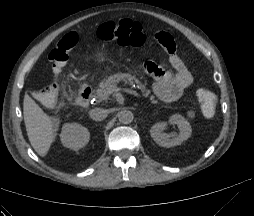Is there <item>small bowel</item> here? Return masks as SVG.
I'll return each instance as SVG.
<instances>
[{
	"instance_id": "1",
	"label": "small bowel",
	"mask_w": 254,
	"mask_h": 216,
	"mask_svg": "<svg viewBox=\"0 0 254 216\" xmlns=\"http://www.w3.org/2000/svg\"><path fill=\"white\" fill-rule=\"evenodd\" d=\"M154 40L166 51L170 68L174 72L164 70L151 61L144 62L142 67L153 77L152 90L154 94L162 101L173 102L179 99L192 84L193 77L182 60L180 62L175 49L176 42L169 34L158 31L154 35Z\"/></svg>"
}]
</instances>
